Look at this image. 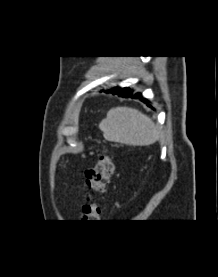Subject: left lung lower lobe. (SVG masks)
Listing matches in <instances>:
<instances>
[{
	"mask_svg": "<svg viewBox=\"0 0 218 277\" xmlns=\"http://www.w3.org/2000/svg\"><path fill=\"white\" fill-rule=\"evenodd\" d=\"M105 92L106 93L117 94V95H120L122 97H131V98H134V99H139V100L143 101L144 103H146L148 105L147 99L142 97L141 93L133 94L132 91L129 88L114 87V88L105 90Z\"/></svg>",
	"mask_w": 218,
	"mask_h": 277,
	"instance_id": "0a47b994",
	"label": "left lung lower lobe"
}]
</instances>
